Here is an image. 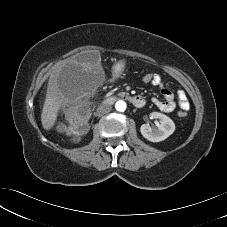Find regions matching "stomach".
Masks as SVG:
<instances>
[{
    "mask_svg": "<svg viewBox=\"0 0 227 227\" xmlns=\"http://www.w3.org/2000/svg\"><path fill=\"white\" fill-rule=\"evenodd\" d=\"M124 66L125 65L123 61L118 62L114 67V73L120 74L124 70Z\"/></svg>",
    "mask_w": 227,
    "mask_h": 227,
    "instance_id": "obj_1",
    "label": "stomach"
}]
</instances>
